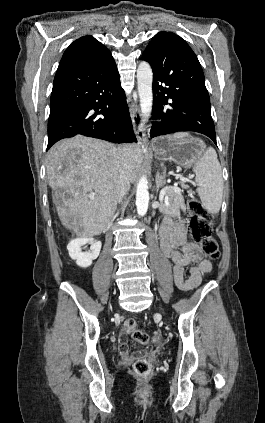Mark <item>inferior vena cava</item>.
I'll use <instances>...</instances> for the list:
<instances>
[{
  "label": "inferior vena cava",
  "mask_w": 265,
  "mask_h": 423,
  "mask_svg": "<svg viewBox=\"0 0 265 423\" xmlns=\"http://www.w3.org/2000/svg\"><path fill=\"white\" fill-rule=\"evenodd\" d=\"M129 188L130 180L126 169V163L124 160H120L117 181V201H120L125 196Z\"/></svg>",
  "instance_id": "inferior-vena-cava-1"
}]
</instances>
